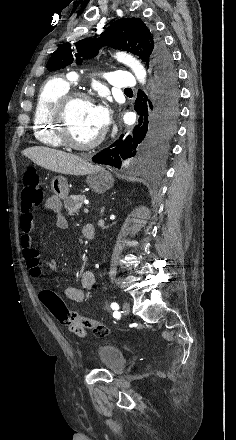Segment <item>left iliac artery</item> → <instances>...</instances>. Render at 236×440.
<instances>
[{
  "label": "left iliac artery",
  "mask_w": 236,
  "mask_h": 440,
  "mask_svg": "<svg viewBox=\"0 0 236 440\" xmlns=\"http://www.w3.org/2000/svg\"><path fill=\"white\" fill-rule=\"evenodd\" d=\"M111 308L113 310H118L119 309V305L116 302L111 303ZM114 315L116 316V314L114 313Z\"/></svg>",
  "instance_id": "44dca946"
}]
</instances>
